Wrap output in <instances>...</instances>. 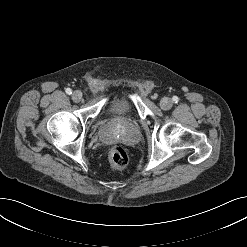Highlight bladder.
Listing matches in <instances>:
<instances>
[{"label":"bladder","mask_w":247,"mask_h":247,"mask_svg":"<svg viewBox=\"0 0 247 247\" xmlns=\"http://www.w3.org/2000/svg\"><path fill=\"white\" fill-rule=\"evenodd\" d=\"M128 109V100L124 97H116L110 101L106 111V115L108 118H115L118 115L127 112Z\"/></svg>","instance_id":"1"}]
</instances>
